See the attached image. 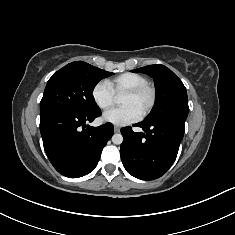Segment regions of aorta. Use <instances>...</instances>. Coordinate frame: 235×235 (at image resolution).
<instances>
[{"mask_svg":"<svg viewBox=\"0 0 235 235\" xmlns=\"http://www.w3.org/2000/svg\"><path fill=\"white\" fill-rule=\"evenodd\" d=\"M112 142L116 145H120L123 142V136L121 134H114L112 136Z\"/></svg>","mask_w":235,"mask_h":235,"instance_id":"762f6f07","label":"aorta"}]
</instances>
